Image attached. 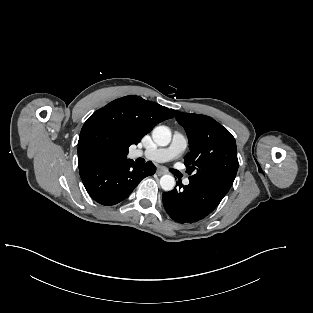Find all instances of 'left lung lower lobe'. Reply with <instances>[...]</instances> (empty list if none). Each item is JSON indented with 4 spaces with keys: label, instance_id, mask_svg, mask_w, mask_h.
<instances>
[{
    "label": "left lung lower lobe",
    "instance_id": "0a47b994",
    "mask_svg": "<svg viewBox=\"0 0 313 313\" xmlns=\"http://www.w3.org/2000/svg\"><path fill=\"white\" fill-rule=\"evenodd\" d=\"M226 193L208 184L190 181L184 186L179 182V188L163 193L162 199L166 212L173 220L193 223L210 214Z\"/></svg>",
    "mask_w": 313,
    "mask_h": 313
}]
</instances>
